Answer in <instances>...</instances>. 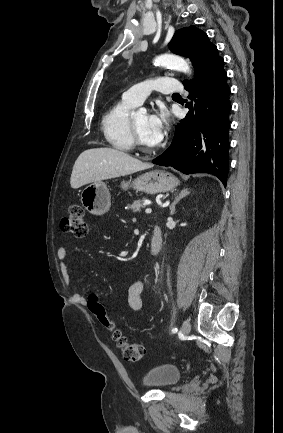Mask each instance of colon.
<instances>
[{
  "label": "colon",
  "mask_w": 283,
  "mask_h": 433,
  "mask_svg": "<svg viewBox=\"0 0 283 433\" xmlns=\"http://www.w3.org/2000/svg\"><path fill=\"white\" fill-rule=\"evenodd\" d=\"M61 229L71 233L76 238L85 237L88 227L85 211L81 205L73 204L70 206L67 215L61 220ZM87 306L99 323L112 333V338L121 349L125 360L137 362L144 357L146 353L145 346L142 343H132L128 341L122 331L116 327L112 318L108 316L96 295L88 297Z\"/></svg>",
  "instance_id": "1"
}]
</instances>
